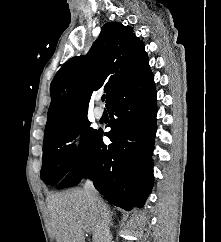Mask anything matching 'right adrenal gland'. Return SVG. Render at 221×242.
Wrapping results in <instances>:
<instances>
[{
    "label": "right adrenal gland",
    "mask_w": 221,
    "mask_h": 242,
    "mask_svg": "<svg viewBox=\"0 0 221 242\" xmlns=\"http://www.w3.org/2000/svg\"><path fill=\"white\" fill-rule=\"evenodd\" d=\"M112 216H113V212L109 209V219H110V225L111 226L113 225Z\"/></svg>",
    "instance_id": "2a0ac1e0"
}]
</instances>
